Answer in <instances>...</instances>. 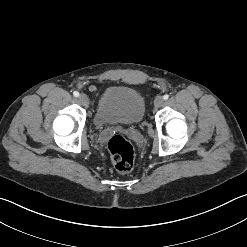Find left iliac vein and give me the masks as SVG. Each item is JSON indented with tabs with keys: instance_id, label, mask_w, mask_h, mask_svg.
Here are the masks:
<instances>
[{
	"instance_id": "left-iliac-vein-1",
	"label": "left iliac vein",
	"mask_w": 247,
	"mask_h": 247,
	"mask_svg": "<svg viewBox=\"0 0 247 247\" xmlns=\"http://www.w3.org/2000/svg\"><path fill=\"white\" fill-rule=\"evenodd\" d=\"M163 103H164V99H163L162 96H157V97L155 98L154 105H155L156 107H161V106L163 105Z\"/></svg>"
}]
</instances>
